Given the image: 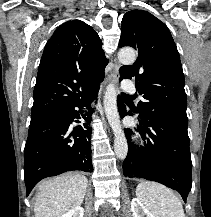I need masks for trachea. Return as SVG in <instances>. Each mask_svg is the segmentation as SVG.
<instances>
[{"label":"trachea","mask_w":211,"mask_h":217,"mask_svg":"<svg viewBox=\"0 0 211 217\" xmlns=\"http://www.w3.org/2000/svg\"><path fill=\"white\" fill-rule=\"evenodd\" d=\"M122 96H123V97H127V98L132 97V96H130V95H126V94H124V93H122Z\"/></svg>","instance_id":"trachea-1"}]
</instances>
